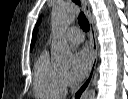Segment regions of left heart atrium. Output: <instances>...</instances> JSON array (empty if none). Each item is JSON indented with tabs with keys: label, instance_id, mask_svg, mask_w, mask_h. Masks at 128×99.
<instances>
[{
	"label": "left heart atrium",
	"instance_id": "1",
	"mask_svg": "<svg viewBox=\"0 0 128 99\" xmlns=\"http://www.w3.org/2000/svg\"><path fill=\"white\" fill-rule=\"evenodd\" d=\"M92 57L87 48L78 50L73 57L72 73L75 79L84 78L91 66Z\"/></svg>",
	"mask_w": 128,
	"mask_h": 99
}]
</instances>
